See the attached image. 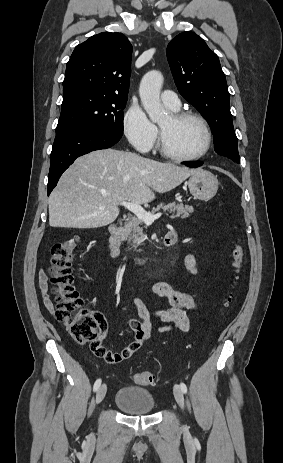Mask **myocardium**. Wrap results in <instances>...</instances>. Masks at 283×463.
Here are the masks:
<instances>
[{
	"mask_svg": "<svg viewBox=\"0 0 283 463\" xmlns=\"http://www.w3.org/2000/svg\"><path fill=\"white\" fill-rule=\"evenodd\" d=\"M170 116L174 122H181L186 119H194L198 121L202 125L205 132V144L203 149L198 154L192 156H180L167 149L163 141L161 130L159 129V152L164 157L176 162H193L203 158L209 152L212 145V131L208 121L201 114L193 111L173 112L170 114Z\"/></svg>",
	"mask_w": 283,
	"mask_h": 463,
	"instance_id": "myocardium-1",
	"label": "myocardium"
}]
</instances>
